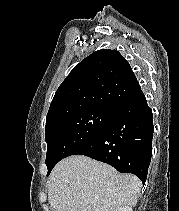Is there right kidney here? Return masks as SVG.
<instances>
[{"label":"right kidney","mask_w":179,"mask_h":211,"mask_svg":"<svg viewBox=\"0 0 179 211\" xmlns=\"http://www.w3.org/2000/svg\"><path fill=\"white\" fill-rule=\"evenodd\" d=\"M115 211H133L131 207L123 206L120 208H117Z\"/></svg>","instance_id":"obj_1"}]
</instances>
